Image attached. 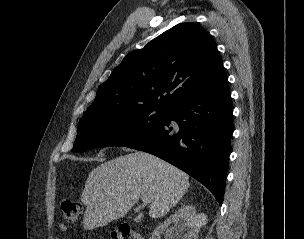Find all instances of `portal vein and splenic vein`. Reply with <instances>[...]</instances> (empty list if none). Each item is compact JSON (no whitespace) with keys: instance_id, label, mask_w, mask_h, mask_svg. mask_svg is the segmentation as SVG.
Returning <instances> with one entry per match:
<instances>
[{"instance_id":"1","label":"portal vein and splenic vein","mask_w":304,"mask_h":239,"mask_svg":"<svg viewBox=\"0 0 304 239\" xmlns=\"http://www.w3.org/2000/svg\"><path fill=\"white\" fill-rule=\"evenodd\" d=\"M144 203H149L150 201L147 198H143Z\"/></svg>"}]
</instances>
